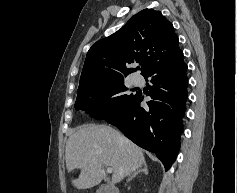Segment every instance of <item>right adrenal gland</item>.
<instances>
[{"label": "right adrenal gland", "instance_id": "obj_1", "mask_svg": "<svg viewBox=\"0 0 237 193\" xmlns=\"http://www.w3.org/2000/svg\"><path fill=\"white\" fill-rule=\"evenodd\" d=\"M139 173H144L145 175L148 174V169H147V165L144 164L143 168L140 170L135 171L128 179L127 182H129L130 180H132L133 178H135Z\"/></svg>", "mask_w": 237, "mask_h": 193}]
</instances>
